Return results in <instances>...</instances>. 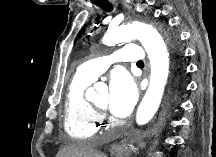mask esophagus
Wrapping results in <instances>:
<instances>
[{
	"label": "esophagus",
	"instance_id": "34e87169",
	"mask_svg": "<svg viewBox=\"0 0 216 157\" xmlns=\"http://www.w3.org/2000/svg\"><path fill=\"white\" fill-rule=\"evenodd\" d=\"M112 148H113V149H115V150H116V149H118V147H117V146H113Z\"/></svg>",
	"mask_w": 216,
	"mask_h": 157
}]
</instances>
